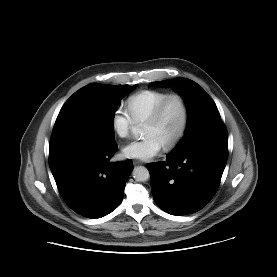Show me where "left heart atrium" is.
<instances>
[{
    "mask_svg": "<svg viewBox=\"0 0 277 277\" xmlns=\"http://www.w3.org/2000/svg\"><path fill=\"white\" fill-rule=\"evenodd\" d=\"M163 147L164 145L156 136L148 134L139 140L129 142L122 151L127 158L145 161L156 156Z\"/></svg>",
    "mask_w": 277,
    "mask_h": 277,
    "instance_id": "39dd6f15",
    "label": "left heart atrium"
}]
</instances>
